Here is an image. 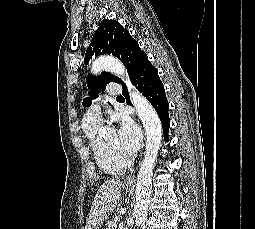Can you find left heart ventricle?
<instances>
[{
  "label": "left heart ventricle",
  "instance_id": "1",
  "mask_svg": "<svg viewBox=\"0 0 255 229\" xmlns=\"http://www.w3.org/2000/svg\"><path fill=\"white\" fill-rule=\"evenodd\" d=\"M106 145L108 147H110L113 150H117L123 153L120 144H119V139L118 137H113L112 139H110L108 142H106Z\"/></svg>",
  "mask_w": 255,
  "mask_h": 229
}]
</instances>
